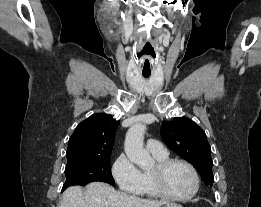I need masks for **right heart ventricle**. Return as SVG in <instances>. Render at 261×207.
Instances as JSON below:
<instances>
[{
  "label": "right heart ventricle",
  "instance_id": "right-heart-ventricle-1",
  "mask_svg": "<svg viewBox=\"0 0 261 207\" xmlns=\"http://www.w3.org/2000/svg\"><path fill=\"white\" fill-rule=\"evenodd\" d=\"M154 159L157 162H161L163 160L168 159V155L166 156H155L153 155ZM143 173V177H144V188L142 191V194L148 196V197H156L158 196V194L156 193L151 178H150V172H142Z\"/></svg>",
  "mask_w": 261,
  "mask_h": 207
}]
</instances>
